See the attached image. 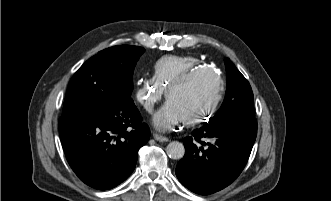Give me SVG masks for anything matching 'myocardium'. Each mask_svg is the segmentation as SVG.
Returning a JSON list of instances; mask_svg holds the SVG:
<instances>
[{
  "instance_id": "obj_1",
  "label": "myocardium",
  "mask_w": 331,
  "mask_h": 201,
  "mask_svg": "<svg viewBox=\"0 0 331 201\" xmlns=\"http://www.w3.org/2000/svg\"><path fill=\"white\" fill-rule=\"evenodd\" d=\"M200 72H210V73H213L217 80H218V83H219V88H218V92L213 100V102L210 104V106L205 109L202 113H200L199 115L193 117V118H189V119H184V123L186 125H194V124H197L199 122H201L203 119L207 118V117H210L212 116L216 110L218 109L222 99H223V96H224V92H225V82H224V79L223 77L217 73L216 71H214L213 68H210L208 66H203V67H200V68H195L193 70H190L189 72L187 73H184L182 74L178 80H177V84L174 86V87H169L167 90H166V98H167V101L171 100V97L172 95L179 89H182L183 87L186 86V84L195 76L197 75L198 73Z\"/></svg>"
}]
</instances>
